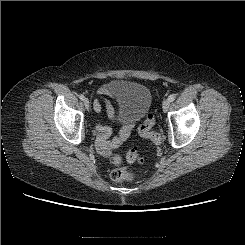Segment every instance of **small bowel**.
Instances as JSON below:
<instances>
[{"instance_id":"small-bowel-1","label":"small bowel","mask_w":245,"mask_h":245,"mask_svg":"<svg viewBox=\"0 0 245 245\" xmlns=\"http://www.w3.org/2000/svg\"><path fill=\"white\" fill-rule=\"evenodd\" d=\"M114 86L115 84H104L100 86L97 90L98 94L113 97L115 95L114 93ZM94 110L97 113H101L102 111V102L99 99H96L94 101ZM106 110L108 113V116L114 120L117 121L119 119V115L115 112L113 107L106 103ZM135 126L134 120H128L126 121L117 136L110 138L111 135V129L107 126H99L98 129V136L96 139V147L100 154L103 156H110L111 153L117 149L119 146L123 144V142L130 136L133 128Z\"/></svg>"}]
</instances>
